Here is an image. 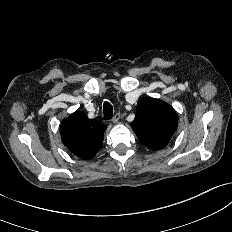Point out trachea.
Here are the masks:
<instances>
[{
	"label": "trachea",
	"instance_id": "obj_1",
	"mask_svg": "<svg viewBox=\"0 0 232 232\" xmlns=\"http://www.w3.org/2000/svg\"><path fill=\"white\" fill-rule=\"evenodd\" d=\"M103 114H104V120H109L113 116V107L109 102H104L103 105Z\"/></svg>",
	"mask_w": 232,
	"mask_h": 232
}]
</instances>
